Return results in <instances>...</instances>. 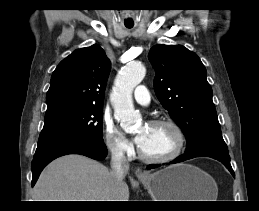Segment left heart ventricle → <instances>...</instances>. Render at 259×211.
<instances>
[{
  "mask_svg": "<svg viewBox=\"0 0 259 211\" xmlns=\"http://www.w3.org/2000/svg\"><path fill=\"white\" fill-rule=\"evenodd\" d=\"M145 130L140 148L149 156H163L170 153L175 145L173 131L167 126L147 125L138 128V133Z\"/></svg>",
  "mask_w": 259,
  "mask_h": 211,
  "instance_id": "left-heart-ventricle-1",
  "label": "left heart ventricle"
}]
</instances>
